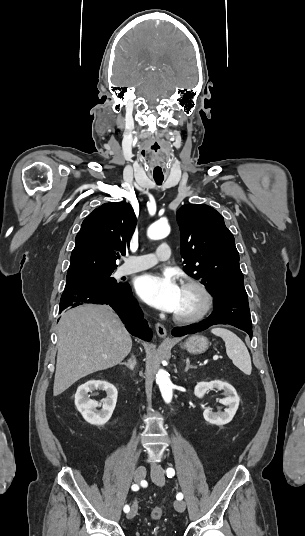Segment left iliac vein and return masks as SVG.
<instances>
[{
    "mask_svg": "<svg viewBox=\"0 0 305 536\" xmlns=\"http://www.w3.org/2000/svg\"><path fill=\"white\" fill-rule=\"evenodd\" d=\"M151 477H152V481L159 485V486H163L165 484V477H164V469L159 467V466H156V467H152V470H151ZM174 507L176 508V510L178 512H183L185 510V502L183 500H177L175 501L174 503Z\"/></svg>",
    "mask_w": 305,
    "mask_h": 536,
    "instance_id": "1",
    "label": "left iliac vein"
}]
</instances>
